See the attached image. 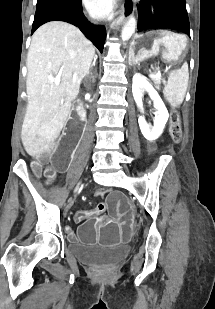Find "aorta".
Wrapping results in <instances>:
<instances>
[{
    "instance_id": "762f6f07",
    "label": "aorta",
    "mask_w": 215,
    "mask_h": 309,
    "mask_svg": "<svg viewBox=\"0 0 215 309\" xmlns=\"http://www.w3.org/2000/svg\"><path fill=\"white\" fill-rule=\"evenodd\" d=\"M136 24V18H134V16H131V18H129L128 22H126V24H124L122 28V40H129L130 36H132L133 32H135Z\"/></svg>"
}]
</instances>
